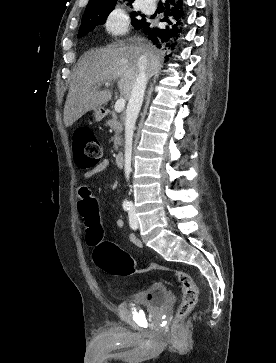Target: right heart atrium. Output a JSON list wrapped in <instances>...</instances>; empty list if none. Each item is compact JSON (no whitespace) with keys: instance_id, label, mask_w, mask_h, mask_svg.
Listing matches in <instances>:
<instances>
[{"instance_id":"obj_1","label":"right heart atrium","mask_w":276,"mask_h":363,"mask_svg":"<svg viewBox=\"0 0 276 363\" xmlns=\"http://www.w3.org/2000/svg\"><path fill=\"white\" fill-rule=\"evenodd\" d=\"M106 27L110 32H121L127 27V17L125 13L120 10H114L106 21Z\"/></svg>"}]
</instances>
